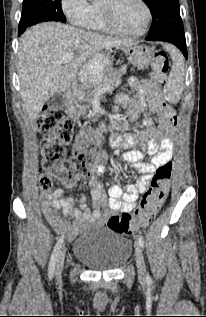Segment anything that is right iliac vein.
I'll list each match as a JSON object with an SVG mask.
<instances>
[{"label": "right iliac vein", "instance_id": "1", "mask_svg": "<svg viewBox=\"0 0 206 317\" xmlns=\"http://www.w3.org/2000/svg\"><path fill=\"white\" fill-rule=\"evenodd\" d=\"M65 256H66V249L62 248L60 251L56 263H55V274L56 276H60L64 267V261H65Z\"/></svg>", "mask_w": 206, "mask_h": 317}]
</instances>
